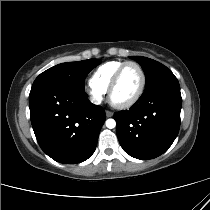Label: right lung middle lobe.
Segmentation results:
<instances>
[{"label":"right lung middle lobe","mask_w":210,"mask_h":210,"mask_svg":"<svg viewBox=\"0 0 210 210\" xmlns=\"http://www.w3.org/2000/svg\"><path fill=\"white\" fill-rule=\"evenodd\" d=\"M99 64L100 60L97 59L58 64L41 73L35 79L32 87L44 84H61L83 90L86 76Z\"/></svg>","instance_id":"obj_1"}]
</instances>
